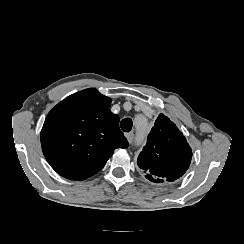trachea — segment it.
Segmentation results:
<instances>
[{
    "mask_svg": "<svg viewBox=\"0 0 244 244\" xmlns=\"http://www.w3.org/2000/svg\"><path fill=\"white\" fill-rule=\"evenodd\" d=\"M120 126L124 132H130L133 126V121L130 118H124L121 121Z\"/></svg>",
    "mask_w": 244,
    "mask_h": 244,
    "instance_id": "trachea-1",
    "label": "trachea"
}]
</instances>
